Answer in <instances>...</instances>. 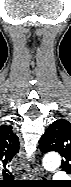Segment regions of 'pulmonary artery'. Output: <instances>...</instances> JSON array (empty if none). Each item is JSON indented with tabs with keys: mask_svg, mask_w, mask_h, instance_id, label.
I'll list each match as a JSON object with an SVG mask.
<instances>
[{
	"mask_svg": "<svg viewBox=\"0 0 71 187\" xmlns=\"http://www.w3.org/2000/svg\"><path fill=\"white\" fill-rule=\"evenodd\" d=\"M55 178L61 180V179H66L67 176H66V174L63 173V172H58V173L55 175Z\"/></svg>",
	"mask_w": 71,
	"mask_h": 187,
	"instance_id": "obj_1",
	"label": "pulmonary artery"
}]
</instances>
